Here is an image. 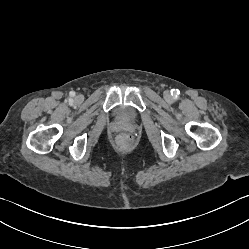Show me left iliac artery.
<instances>
[{"label": "left iliac artery", "instance_id": "left-iliac-artery-1", "mask_svg": "<svg viewBox=\"0 0 249 249\" xmlns=\"http://www.w3.org/2000/svg\"><path fill=\"white\" fill-rule=\"evenodd\" d=\"M180 91L178 89H173L172 90V94H174L175 97H177L179 95Z\"/></svg>", "mask_w": 249, "mask_h": 249}]
</instances>
